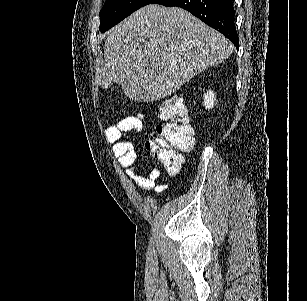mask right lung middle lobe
<instances>
[{
	"mask_svg": "<svg viewBox=\"0 0 307 301\" xmlns=\"http://www.w3.org/2000/svg\"><path fill=\"white\" fill-rule=\"evenodd\" d=\"M154 0H106L100 12V31L105 32L137 9Z\"/></svg>",
	"mask_w": 307,
	"mask_h": 301,
	"instance_id": "dd1d6c3e",
	"label": "right lung middle lobe"
}]
</instances>
